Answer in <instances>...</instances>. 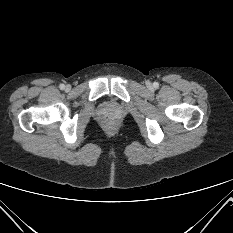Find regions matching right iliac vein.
Masks as SVG:
<instances>
[{
    "mask_svg": "<svg viewBox=\"0 0 233 233\" xmlns=\"http://www.w3.org/2000/svg\"><path fill=\"white\" fill-rule=\"evenodd\" d=\"M71 89V86L70 85H67L66 86V90L69 91Z\"/></svg>",
    "mask_w": 233,
    "mask_h": 233,
    "instance_id": "1",
    "label": "right iliac vein"
}]
</instances>
